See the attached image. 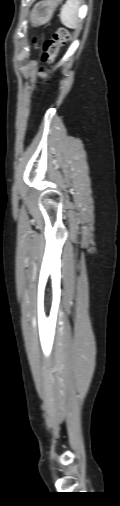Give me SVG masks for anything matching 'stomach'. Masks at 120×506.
I'll return each instance as SVG.
<instances>
[{
	"label": "stomach",
	"mask_w": 120,
	"mask_h": 506,
	"mask_svg": "<svg viewBox=\"0 0 120 506\" xmlns=\"http://www.w3.org/2000/svg\"><path fill=\"white\" fill-rule=\"evenodd\" d=\"M62 0H42L36 3L30 14V21L33 25L47 23L53 16L54 10Z\"/></svg>",
	"instance_id": "0dacf381"
}]
</instances>
